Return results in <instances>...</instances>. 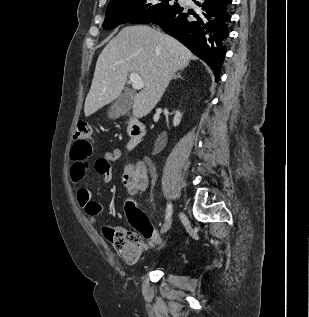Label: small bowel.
<instances>
[{"label": "small bowel", "mask_w": 309, "mask_h": 317, "mask_svg": "<svg viewBox=\"0 0 309 317\" xmlns=\"http://www.w3.org/2000/svg\"><path fill=\"white\" fill-rule=\"evenodd\" d=\"M89 155L90 152L85 151L84 148H79L75 153H72V164L69 170V177L72 183L78 184L85 177L89 168L87 160ZM120 155L119 149H113L106 151L96 160L95 169L103 176L105 183H109L112 180L111 163L117 161ZM122 182L126 190L131 194L144 190L148 182L146 166L141 162L127 165L122 175ZM76 201L91 222H94L96 217L102 212V205L93 199L92 192L87 187H81L77 190Z\"/></svg>", "instance_id": "1"}]
</instances>
